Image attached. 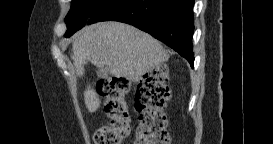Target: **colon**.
Returning <instances> with one entry per match:
<instances>
[{"label": "colon", "mask_w": 273, "mask_h": 144, "mask_svg": "<svg viewBox=\"0 0 273 144\" xmlns=\"http://www.w3.org/2000/svg\"><path fill=\"white\" fill-rule=\"evenodd\" d=\"M169 72L160 65L145 74L138 83L135 106L139 114L136 144H169L165 106L170 98ZM130 88L126 78L100 80L97 91L104 98V112L110 122L96 129V144H119L129 134L130 118L125 96Z\"/></svg>", "instance_id": "5ec220e1"}]
</instances>
